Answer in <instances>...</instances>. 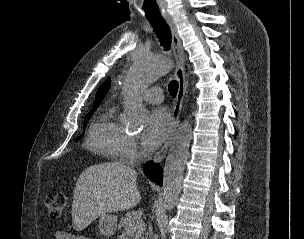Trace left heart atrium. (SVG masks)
Returning a JSON list of instances; mask_svg holds the SVG:
<instances>
[{
    "label": "left heart atrium",
    "instance_id": "39dd6f15",
    "mask_svg": "<svg viewBox=\"0 0 304 239\" xmlns=\"http://www.w3.org/2000/svg\"><path fill=\"white\" fill-rule=\"evenodd\" d=\"M172 125L169 111L158 108L152 112L146 130L142 135V143L146 150L157 148L168 135Z\"/></svg>",
    "mask_w": 304,
    "mask_h": 239
}]
</instances>
